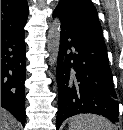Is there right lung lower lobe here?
Returning a JSON list of instances; mask_svg holds the SVG:
<instances>
[{"label": "right lung lower lobe", "instance_id": "obj_1", "mask_svg": "<svg viewBox=\"0 0 123 130\" xmlns=\"http://www.w3.org/2000/svg\"><path fill=\"white\" fill-rule=\"evenodd\" d=\"M24 27L1 31V106L25 125Z\"/></svg>", "mask_w": 123, "mask_h": 130}]
</instances>
